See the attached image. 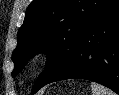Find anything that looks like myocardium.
<instances>
[{
  "label": "myocardium",
  "mask_w": 119,
  "mask_h": 95,
  "mask_svg": "<svg viewBox=\"0 0 119 95\" xmlns=\"http://www.w3.org/2000/svg\"><path fill=\"white\" fill-rule=\"evenodd\" d=\"M51 61V55L49 52L43 51L35 54L32 58V66L36 70H45Z\"/></svg>",
  "instance_id": "1"
}]
</instances>
